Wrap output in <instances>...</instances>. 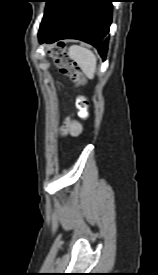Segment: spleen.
I'll return each instance as SVG.
<instances>
[{
	"label": "spleen",
	"mask_w": 158,
	"mask_h": 275,
	"mask_svg": "<svg viewBox=\"0 0 158 275\" xmlns=\"http://www.w3.org/2000/svg\"><path fill=\"white\" fill-rule=\"evenodd\" d=\"M68 54L89 79L94 78L97 58L91 50L79 45H72Z\"/></svg>",
	"instance_id": "3e777b00"
}]
</instances>
